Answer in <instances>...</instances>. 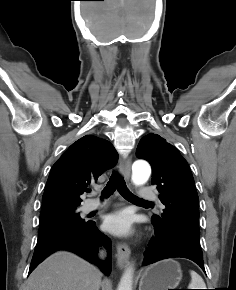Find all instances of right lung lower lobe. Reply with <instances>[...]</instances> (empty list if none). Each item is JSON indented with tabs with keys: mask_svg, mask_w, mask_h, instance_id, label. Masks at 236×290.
I'll use <instances>...</instances> for the list:
<instances>
[{
	"mask_svg": "<svg viewBox=\"0 0 236 290\" xmlns=\"http://www.w3.org/2000/svg\"><path fill=\"white\" fill-rule=\"evenodd\" d=\"M97 245H103L109 252L111 251L110 240L97 229L94 221H88L80 226L58 229L43 235H38L29 273L51 253L57 250H68L90 262L98 264L105 274H109L111 272L110 258L102 263L96 257L95 246Z\"/></svg>",
	"mask_w": 236,
	"mask_h": 290,
	"instance_id": "98d812e1",
	"label": "right lung lower lobe"
}]
</instances>
